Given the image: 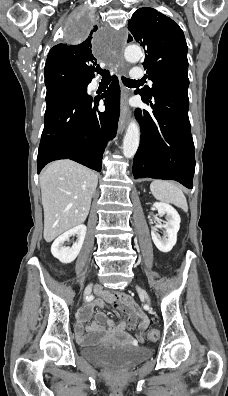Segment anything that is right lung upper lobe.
<instances>
[{"label":"right lung upper lobe","instance_id":"right-lung-upper-lobe-1","mask_svg":"<svg viewBox=\"0 0 228 396\" xmlns=\"http://www.w3.org/2000/svg\"><path fill=\"white\" fill-rule=\"evenodd\" d=\"M97 28H94V31ZM92 33L79 44H58L49 51L45 64V75L70 72L90 80L94 77L96 59L92 53Z\"/></svg>","mask_w":228,"mask_h":396}]
</instances>
